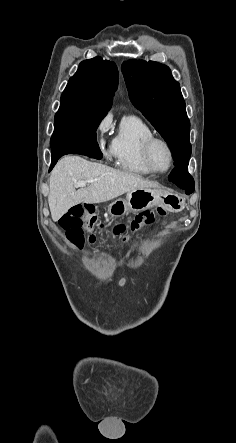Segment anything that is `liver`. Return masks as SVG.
Instances as JSON below:
<instances>
[{
  "label": "liver",
  "mask_w": 236,
  "mask_h": 443,
  "mask_svg": "<svg viewBox=\"0 0 236 443\" xmlns=\"http://www.w3.org/2000/svg\"><path fill=\"white\" fill-rule=\"evenodd\" d=\"M78 181L90 182V186L76 191L74 185ZM49 187V208L56 222L77 204L107 202L136 189L159 188V185L136 174L92 163L78 156H66L53 169Z\"/></svg>",
  "instance_id": "1"
}]
</instances>
